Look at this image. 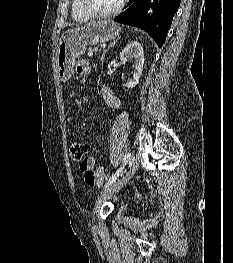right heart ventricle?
Returning <instances> with one entry per match:
<instances>
[{
  "instance_id": "e07e8e85",
  "label": "right heart ventricle",
  "mask_w": 233,
  "mask_h": 263,
  "mask_svg": "<svg viewBox=\"0 0 233 263\" xmlns=\"http://www.w3.org/2000/svg\"><path fill=\"white\" fill-rule=\"evenodd\" d=\"M71 14L76 21L80 22L87 21L91 18L83 11L80 0H72Z\"/></svg>"
}]
</instances>
